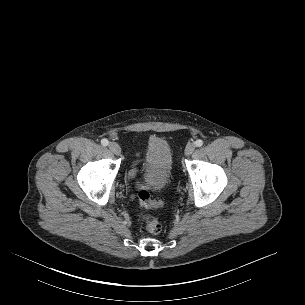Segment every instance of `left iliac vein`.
<instances>
[{"label":"left iliac vein","instance_id":"obj_1","mask_svg":"<svg viewBox=\"0 0 305 305\" xmlns=\"http://www.w3.org/2000/svg\"><path fill=\"white\" fill-rule=\"evenodd\" d=\"M195 150V144L194 143H188L185 148V155L189 156L191 155Z\"/></svg>","mask_w":305,"mask_h":305}]
</instances>
